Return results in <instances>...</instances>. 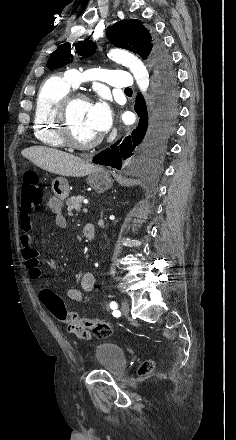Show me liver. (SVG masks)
<instances>
[{
  "mask_svg": "<svg viewBox=\"0 0 236 440\" xmlns=\"http://www.w3.org/2000/svg\"><path fill=\"white\" fill-rule=\"evenodd\" d=\"M22 155L45 171L67 177H84L97 168L77 156L43 146L24 149Z\"/></svg>",
  "mask_w": 236,
  "mask_h": 440,
  "instance_id": "6515ba94",
  "label": "liver"
}]
</instances>
